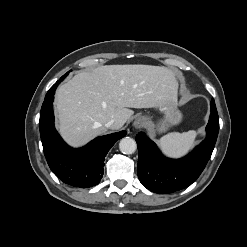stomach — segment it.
Here are the masks:
<instances>
[{"label": "stomach", "mask_w": 247, "mask_h": 247, "mask_svg": "<svg viewBox=\"0 0 247 247\" xmlns=\"http://www.w3.org/2000/svg\"><path fill=\"white\" fill-rule=\"evenodd\" d=\"M163 117L153 125V131L163 133L170 127L179 124L182 120V113L177 108V99L169 100L160 106Z\"/></svg>", "instance_id": "obj_1"}]
</instances>
